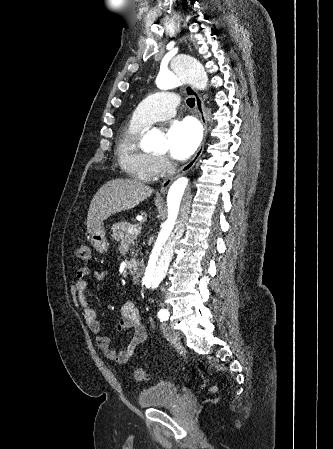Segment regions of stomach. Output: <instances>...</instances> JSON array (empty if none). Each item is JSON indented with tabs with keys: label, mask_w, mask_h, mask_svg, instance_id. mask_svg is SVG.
Segmentation results:
<instances>
[{
	"label": "stomach",
	"mask_w": 333,
	"mask_h": 449,
	"mask_svg": "<svg viewBox=\"0 0 333 449\" xmlns=\"http://www.w3.org/2000/svg\"><path fill=\"white\" fill-rule=\"evenodd\" d=\"M91 241L97 252L105 253L108 250L109 243L106 240V230L102 224L91 232Z\"/></svg>",
	"instance_id": "1"
}]
</instances>
